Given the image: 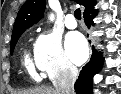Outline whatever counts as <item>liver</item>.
Listing matches in <instances>:
<instances>
[{"label": "liver", "mask_w": 121, "mask_h": 94, "mask_svg": "<svg viewBox=\"0 0 121 94\" xmlns=\"http://www.w3.org/2000/svg\"><path fill=\"white\" fill-rule=\"evenodd\" d=\"M18 94H58V92L51 86H40L34 89L21 91Z\"/></svg>", "instance_id": "obj_1"}]
</instances>
